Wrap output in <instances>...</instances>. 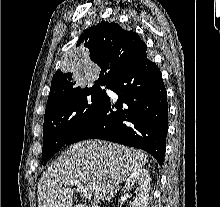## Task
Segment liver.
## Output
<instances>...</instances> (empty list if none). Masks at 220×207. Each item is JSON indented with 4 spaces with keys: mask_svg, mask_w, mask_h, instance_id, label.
I'll list each match as a JSON object with an SVG mask.
<instances>
[{
    "mask_svg": "<svg viewBox=\"0 0 220 207\" xmlns=\"http://www.w3.org/2000/svg\"><path fill=\"white\" fill-rule=\"evenodd\" d=\"M148 162L136 149L112 142L86 140L71 146L38 182V207H72L75 193L67 181L77 180L97 200L113 199L130 174Z\"/></svg>",
    "mask_w": 220,
    "mask_h": 207,
    "instance_id": "liver-1",
    "label": "liver"
}]
</instances>
